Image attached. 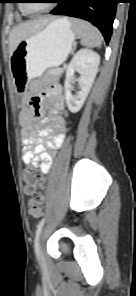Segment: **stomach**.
<instances>
[{
    "instance_id": "obj_1",
    "label": "stomach",
    "mask_w": 136,
    "mask_h": 296,
    "mask_svg": "<svg viewBox=\"0 0 136 296\" xmlns=\"http://www.w3.org/2000/svg\"><path fill=\"white\" fill-rule=\"evenodd\" d=\"M73 41L74 30L67 18H57L22 40L10 58L17 94H26V82L38 79L47 69L65 61Z\"/></svg>"
}]
</instances>
